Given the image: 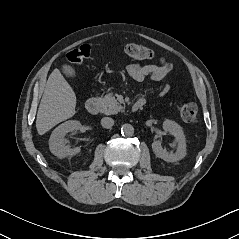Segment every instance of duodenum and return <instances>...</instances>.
Returning a JSON list of instances; mask_svg holds the SVG:
<instances>
[{"label":"duodenum","instance_id":"duodenum-1","mask_svg":"<svg viewBox=\"0 0 239 239\" xmlns=\"http://www.w3.org/2000/svg\"><path fill=\"white\" fill-rule=\"evenodd\" d=\"M145 102L143 100H137L133 105H132V111L136 112L140 110L144 106ZM86 110L90 114H96L99 111V101L96 97H91L87 100L86 102Z\"/></svg>","mask_w":239,"mask_h":239}]
</instances>
